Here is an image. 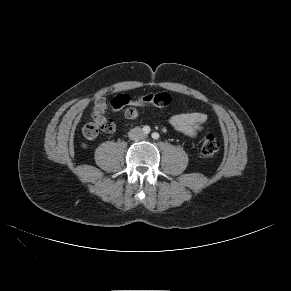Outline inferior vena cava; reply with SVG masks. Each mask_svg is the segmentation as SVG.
Wrapping results in <instances>:
<instances>
[{"label":"inferior vena cava","instance_id":"602c4592","mask_svg":"<svg viewBox=\"0 0 291 291\" xmlns=\"http://www.w3.org/2000/svg\"><path fill=\"white\" fill-rule=\"evenodd\" d=\"M145 137V134L142 132L141 128L135 127L130 130L129 132V138L131 140H139L143 139Z\"/></svg>","mask_w":291,"mask_h":291}]
</instances>
